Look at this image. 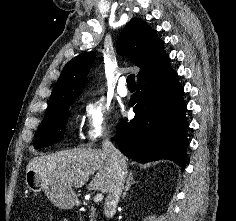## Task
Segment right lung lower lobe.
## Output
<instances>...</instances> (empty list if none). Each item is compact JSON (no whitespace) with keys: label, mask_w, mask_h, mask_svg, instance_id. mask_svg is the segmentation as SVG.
<instances>
[{"label":"right lung lower lobe","mask_w":236,"mask_h":221,"mask_svg":"<svg viewBox=\"0 0 236 221\" xmlns=\"http://www.w3.org/2000/svg\"><path fill=\"white\" fill-rule=\"evenodd\" d=\"M183 88L167 60L137 82L131 99L135 117L117 126L120 151L140 163L168 159L186 165L188 140Z\"/></svg>","instance_id":"98d812e1"}]
</instances>
